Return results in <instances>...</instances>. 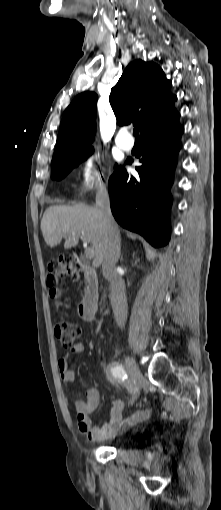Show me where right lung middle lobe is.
<instances>
[{
	"label": "right lung middle lobe",
	"instance_id": "1",
	"mask_svg": "<svg viewBox=\"0 0 221 510\" xmlns=\"http://www.w3.org/2000/svg\"><path fill=\"white\" fill-rule=\"evenodd\" d=\"M92 153V146L81 147L68 151L53 159L51 162L52 178L59 180L65 177L71 171V169H73L83 160L87 159Z\"/></svg>",
	"mask_w": 221,
	"mask_h": 510
}]
</instances>
